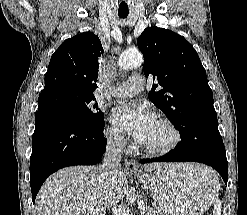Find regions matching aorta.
<instances>
[{
    "label": "aorta",
    "instance_id": "762f6f07",
    "mask_svg": "<svg viewBox=\"0 0 247 215\" xmlns=\"http://www.w3.org/2000/svg\"><path fill=\"white\" fill-rule=\"evenodd\" d=\"M143 63V56L139 52H124L118 59V65L122 69L138 67Z\"/></svg>",
    "mask_w": 247,
    "mask_h": 215
}]
</instances>
